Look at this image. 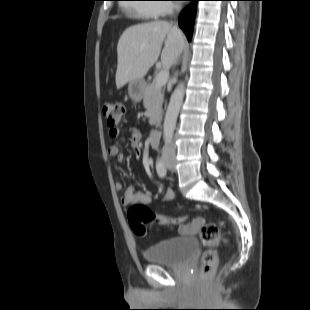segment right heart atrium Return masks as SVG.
Returning a JSON list of instances; mask_svg holds the SVG:
<instances>
[{"instance_id":"right-heart-atrium-1","label":"right heart atrium","mask_w":310,"mask_h":310,"mask_svg":"<svg viewBox=\"0 0 310 310\" xmlns=\"http://www.w3.org/2000/svg\"><path fill=\"white\" fill-rule=\"evenodd\" d=\"M154 7L158 10L159 15L170 13L174 9L172 0H159Z\"/></svg>"}]
</instances>
